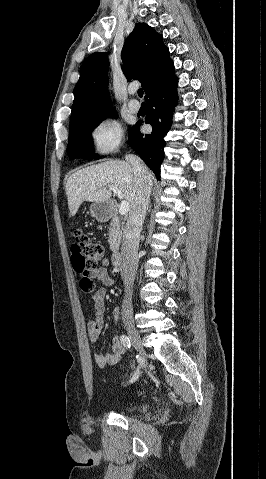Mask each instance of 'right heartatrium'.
Segmentation results:
<instances>
[{"label":"right heart atrium","instance_id":"d8ad5b80","mask_svg":"<svg viewBox=\"0 0 266 479\" xmlns=\"http://www.w3.org/2000/svg\"><path fill=\"white\" fill-rule=\"evenodd\" d=\"M123 133L119 123L113 119H105L94 126L91 140L100 153H110L119 148Z\"/></svg>","mask_w":266,"mask_h":479}]
</instances>
